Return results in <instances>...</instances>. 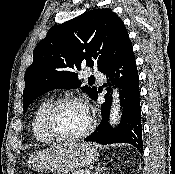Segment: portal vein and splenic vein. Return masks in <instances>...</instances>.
I'll list each match as a JSON object with an SVG mask.
<instances>
[{
  "label": "portal vein and splenic vein",
  "mask_w": 175,
  "mask_h": 174,
  "mask_svg": "<svg viewBox=\"0 0 175 174\" xmlns=\"http://www.w3.org/2000/svg\"><path fill=\"white\" fill-rule=\"evenodd\" d=\"M85 174H90V171H89V170H86V171H85Z\"/></svg>",
  "instance_id": "obj_1"
}]
</instances>
